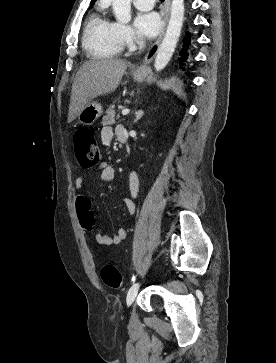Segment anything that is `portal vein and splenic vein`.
<instances>
[{"label": "portal vein and splenic vein", "mask_w": 276, "mask_h": 363, "mask_svg": "<svg viewBox=\"0 0 276 363\" xmlns=\"http://www.w3.org/2000/svg\"><path fill=\"white\" fill-rule=\"evenodd\" d=\"M130 112L129 109L125 108V109H122V115H127L128 113Z\"/></svg>", "instance_id": "18ae733b"}]
</instances>
